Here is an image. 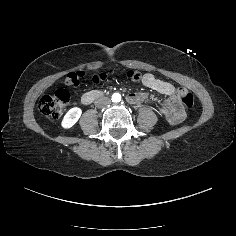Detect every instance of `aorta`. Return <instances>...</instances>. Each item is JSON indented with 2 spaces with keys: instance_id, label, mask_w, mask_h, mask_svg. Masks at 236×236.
<instances>
[{
  "instance_id": "762f6f07",
  "label": "aorta",
  "mask_w": 236,
  "mask_h": 236,
  "mask_svg": "<svg viewBox=\"0 0 236 236\" xmlns=\"http://www.w3.org/2000/svg\"><path fill=\"white\" fill-rule=\"evenodd\" d=\"M112 101L113 102H120L121 101V95L119 93H114L112 95Z\"/></svg>"
}]
</instances>
